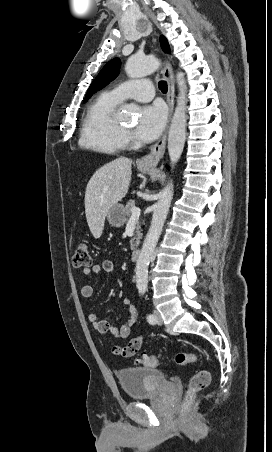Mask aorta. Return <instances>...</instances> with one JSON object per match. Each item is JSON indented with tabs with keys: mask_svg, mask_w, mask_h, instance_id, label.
<instances>
[{
	"mask_svg": "<svg viewBox=\"0 0 272 452\" xmlns=\"http://www.w3.org/2000/svg\"><path fill=\"white\" fill-rule=\"evenodd\" d=\"M160 66V61L154 57L131 56L125 65V71L130 78H140L156 71ZM179 97L177 106L172 117L168 134V152L170 163L173 167L181 157L186 139V84L183 73L176 75ZM132 109L125 107L121 112L122 116L131 114ZM173 197V185L168 184L160 194L158 202L155 204L151 226L144 240L139 253L136 267L135 279L139 294H144L148 286V266L152 259L156 244L161 235L171 200Z\"/></svg>",
	"mask_w": 272,
	"mask_h": 452,
	"instance_id": "obj_1",
	"label": "aorta"
}]
</instances>
